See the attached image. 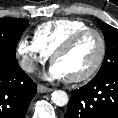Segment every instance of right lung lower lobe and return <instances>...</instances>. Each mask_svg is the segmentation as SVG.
I'll use <instances>...</instances> for the list:
<instances>
[{
	"label": "right lung lower lobe",
	"instance_id": "right-lung-lower-lobe-1",
	"mask_svg": "<svg viewBox=\"0 0 118 118\" xmlns=\"http://www.w3.org/2000/svg\"><path fill=\"white\" fill-rule=\"evenodd\" d=\"M36 84L16 59L0 58V118H24Z\"/></svg>",
	"mask_w": 118,
	"mask_h": 118
}]
</instances>
